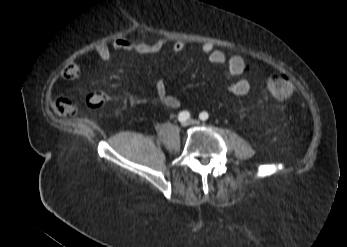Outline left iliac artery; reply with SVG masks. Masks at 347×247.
<instances>
[{
    "mask_svg": "<svg viewBox=\"0 0 347 247\" xmlns=\"http://www.w3.org/2000/svg\"><path fill=\"white\" fill-rule=\"evenodd\" d=\"M199 118L203 121L207 120L209 118V115L207 112H201L199 115Z\"/></svg>",
    "mask_w": 347,
    "mask_h": 247,
    "instance_id": "44dca946",
    "label": "left iliac artery"
}]
</instances>
